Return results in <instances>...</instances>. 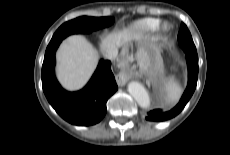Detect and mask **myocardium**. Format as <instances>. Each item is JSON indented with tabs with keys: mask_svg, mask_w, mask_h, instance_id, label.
<instances>
[{
	"mask_svg": "<svg viewBox=\"0 0 230 155\" xmlns=\"http://www.w3.org/2000/svg\"><path fill=\"white\" fill-rule=\"evenodd\" d=\"M170 29H171V24L167 20H161L156 25V30L160 34H166L167 32H169Z\"/></svg>",
	"mask_w": 230,
	"mask_h": 155,
	"instance_id": "f54148a6",
	"label": "myocardium"
}]
</instances>
